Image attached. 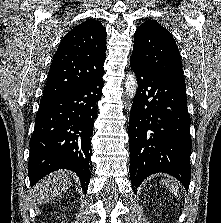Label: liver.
Listing matches in <instances>:
<instances>
[{
  "instance_id": "obj_1",
  "label": "liver",
  "mask_w": 221,
  "mask_h": 223,
  "mask_svg": "<svg viewBox=\"0 0 221 223\" xmlns=\"http://www.w3.org/2000/svg\"><path fill=\"white\" fill-rule=\"evenodd\" d=\"M72 184V174L66 170L51 173L41 180L32 190L37 204H47L65 193Z\"/></svg>"
}]
</instances>
